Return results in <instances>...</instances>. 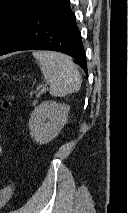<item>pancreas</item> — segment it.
Listing matches in <instances>:
<instances>
[{
    "label": "pancreas",
    "mask_w": 128,
    "mask_h": 213,
    "mask_svg": "<svg viewBox=\"0 0 128 213\" xmlns=\"http://www.w3.org/2000/svg\"><path fill=\"white\" fill-rule=\"evenodd\" d=\"M37 102H38L37 100L33 101L32 105L35 106L37 104Z\"/></svg>",
    "instance_id": "pancreas-1"
}]
</instances>
